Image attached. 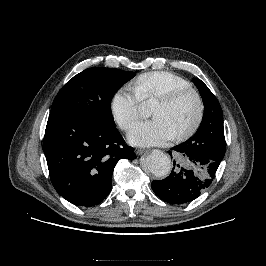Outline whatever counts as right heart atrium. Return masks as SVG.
Returning <instances> with one entry per match:
<instances>
[{
  "instance_id": "right-heart-atrium-1",
  "label": "right heart atrium",
  "mask_w": 266,
  "mask_h": 266,
  "mask_svg": "<svg viewBox=\"0 0 266 266\" xmlns=\"http://www.w3.org/2000/svg\"><path fill=\"white\" fill-rule=\"evenodd\" d=\"M142 100L138 94L128 88L118 89L111 99V112L121 129L127 131L138 119Z\"/></svg>"
}]
</instances>
